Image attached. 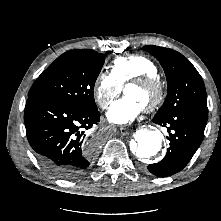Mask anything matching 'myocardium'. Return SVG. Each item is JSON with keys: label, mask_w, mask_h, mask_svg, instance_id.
<instances>
[{"label": "myocardium", "mask_w": 221, "mask_h": 221, "mask_svg": "<svg viewBox=\"0 0 221 221\" xmlns=\"http://www.w3.org/2000/svg\"><path fill=\"white\" fill-rule=\"evenodd\" d=\"M131 85L145 87L154 92V97L144 105L146 111H154L163 103L165 89L162 81L157 75L145 74L137 76L126 83L124 90Z\"/></svg>", "instance_id": "myocardium-1"}]
</instances>
